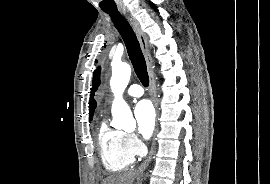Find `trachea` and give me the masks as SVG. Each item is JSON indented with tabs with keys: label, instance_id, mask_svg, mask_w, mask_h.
Segmentation results:
<instances>
[{
	"label": "trachea",
	"instance_id": "3493384b",
	"mask_svg": "<svg viewBox=\"0 0 270 184\" xmlns=\"http://www.w3.org/2000/svg\"><path fill=\"white\" fill-rule=\"evenodd\" d=\"M104 12L109 14L116 29L122 36L137 77L141 83L147 87L149 85V77L146 61L132 27L129 25L124 16L118 11V9L104 10Z\"/></svg>",
	"mask_w": 270,
	"mask_h": 184
}]
</instances>
